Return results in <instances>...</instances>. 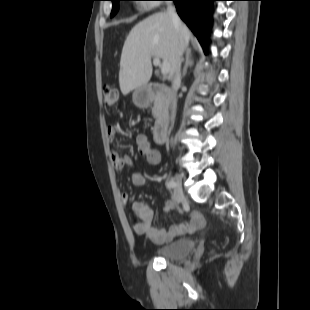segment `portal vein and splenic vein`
Masks as SVG:
<instances>
[{
	"label": "portal vein and splenic vein",
	"instance_id": "portal-vein-and-splenic-vein-1",
	"mask_svg": "<svg viewBox=\"0 0 310 310\" xmlns=\"http://www.w3.org/2000/svg\"><path fill=\"white\" fill-rule=\"evenodd\" d=\"M153 63L155 66H160L161 68V73L163 75H167L169 73V70H170V66L167 62H163L162 65L160 63V59L159 58H154L153 59Z\"/></svg>",
	"mask_w": 310,
	"mask_h": 310
}]
</instances>
